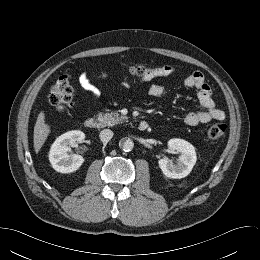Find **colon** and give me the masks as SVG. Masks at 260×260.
I'll list each match as a JSON object with an SVG mask.
<instances>
[{"mask_svg": "<svg viewBox=\"0 0 260 260\" xmlns=\"http://www.w3.org/2000/svg\"><path fill=\"white\" fill-rule=\"evenodd\" d=\"M130 75L136 80H145L152 70L146 66H133L129 68ZM50 104L59 112L70 108L73 104V87L71 77L67 74L60 76L52 85L49 93ZM226 131V125L223 123H214L207 130V138L215 142L223 137Z\"/></svg>", "mask_w": 260, "mask_h": 260, "instance_id": "obj_1", "label": "colon"}]
</instances>
